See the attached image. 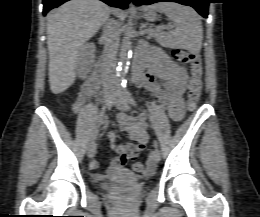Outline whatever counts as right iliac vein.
Listing matches in <instances>:
<instances>
[{
	"label": "right iliac vein",
	"mask_w": 260,
	"mask_h": 217,
	"mask_svg": "<svg viewBox=\"0 0 260 217\" xmlns=\"http://www.w3.org/2000/svg\"><path fill=\"white\" fill-rule=\"evenodd\" d=\"M113 99V95H111L110 93H107L104 95V103L109 101V100H112ZM95 150H96V144L95 142H92L89 147H88V157L89 158H92L95 154Z\"/></svg>",
	"instance_id": "63e3f726"
}]
</instances>
